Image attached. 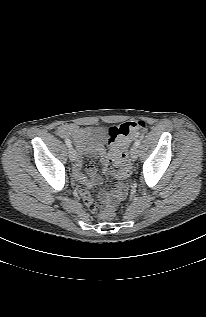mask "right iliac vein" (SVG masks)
Segmentation results:
<instances>
[{
    "label": "right iliac vein",
    "instance_id": "1",
    "mask_svg": "<svg viewBox=\"0 0 206 317\" xmlns=\"http://www.w3.org/2000/svg\"><path fill=\"white\" fill-rule=\"evenodd\" d=\"M68 153H69L70 160L74 162L76 160V151H75V149L70 147Z\"/></svg>",
    "mask_w": 206,
    "mask_h": 317
}]
</instances>
